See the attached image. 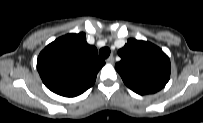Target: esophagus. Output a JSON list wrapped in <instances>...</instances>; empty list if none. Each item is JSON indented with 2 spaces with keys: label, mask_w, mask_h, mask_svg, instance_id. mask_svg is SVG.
Wrapping results in <instances>:
<instances>
[{
  "label": "esophagus",
  "mask_w": 203,
  "mask_h": 123,
  "mask_svg": "<svg viewBox=\"0 0 203 123\" xmlns=\"http://www.w3.org/2000/svg\"><path fill=\"white\" fill-rule=\"evenodd\" d=\"M106 63L108 64H113L114 63V57L110 56L109 58L106 59Z\"/></svg>",
  "instance_id": "esophagus-1"
}]
</instances>
